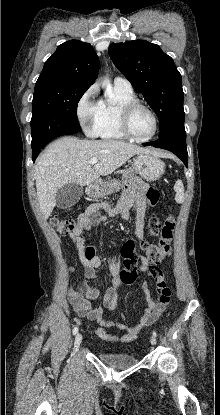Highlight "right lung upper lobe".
<instances>
[{
  "label": "right lung upper lobe",
  "mask_w": 220,
  "mask_h": 415,
  "mask_svg": "<svg viewBox=\"0 0 220 415\" xmlns=\"http://www.w3.org/2000/svg\"><path fill=\"white\" fill-rule=\"evenodd\" d=\"M99 59L89 43L70 40L59 45L45 62L36 82L90 87L98 75Z\"/></svg>",
  "instance_id": "cb5924a9"
}]
</instances>
